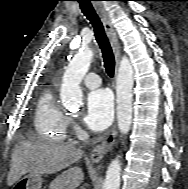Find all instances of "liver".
I'll return each mask as SVG.
<instances>
[{"mask_svg": "<svg viewBox=\"0 0 188 189\" xmlns=\"http://www.w3.org/2000/svg\"><path fill=\"white\" fill-rule=\"evenodd\" d=\"M83 152L71 144L55 142H22L13 151L11 168L7 177L12 186L26 173L53 174L74 164ZM60 189H75L84 180L78 166L70 167L60 176Z\"/></svg>", "mask_w": 188, "mask_h": 189, "instance_id": "6515ba94", "label": "liver"}]
</instances>
